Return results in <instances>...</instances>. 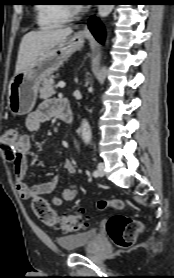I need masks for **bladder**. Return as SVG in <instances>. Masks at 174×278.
I'll return each mask as SVG.
<instances>
[{
    "label": "bladder",
    "mask_w": 174,
    "mask_h": 278,
    "mask_svg": "<svg viewBox=\"0 0 174 278\" xmlns=\"http://www.w3.org/2000/svg\"><path fill=\"white\" fill-rule=\"evenodd\" d=\"M98 238V232L96 229H90L87 231H82L62 237H58L56 239L59 247L65 251H75L80 248H84L93 242H95Z\"/></svg>",
    "instance_id": "1"
}]
</instances>
